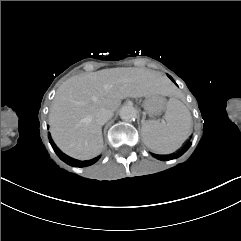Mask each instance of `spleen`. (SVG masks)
Wrapping results in <instances>:
<instances>
[{"instance_id":"3e777b00","label":"spleen","mask_w":241,"mask_h":241,"mask_svg":"<svg viewBox=\"0 0 241 241\" xmlns=\"http://www.w3.org/2000/svg\"><path fill=\"white\" fill-rule=\"evenodd\" d=\"M165 119L166 124L156 120L142 123V141L157 154L175 152L192 133L191 113L180 100L169 99Z\"/></svg>"}]
</instances>
